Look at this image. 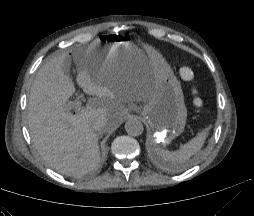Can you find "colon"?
Segmentation results:
<instances>
[{
    "mask_svg": "<svg viewBox=\"0 0 254 216\" xmlns=\"http://www.w3.org/2000/svg\"><path fill=\"white\" fill-rule=\"evenodd\" d=\"M179 75L182 80L191 81L194 77V72L189 66H182L179 70ZM194 103L196 106H200L202 104L201 100L197 97L194 99Z\"/></svg>",
    "mask_w": 254,
    "mask_h": 216,
    "instance_id": "colon-1",
    "label": "colon"
}]
</instances>
